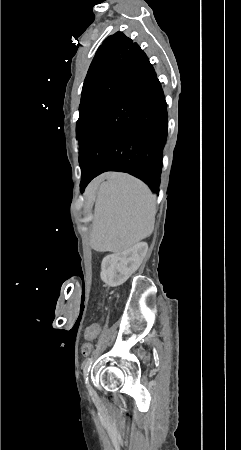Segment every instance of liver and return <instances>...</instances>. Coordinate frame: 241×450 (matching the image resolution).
<instances>
[{
  "label": "liver",
  "instance_id": "liver-1",
  "mask_svg": "<svg viewBox=\"0 0 241 450\" xmlns=\"http://www.w3.org/2000/svg\"><path fill=\"white\" fill-rule=\"evenodd\" d=\"M111 174H102V176H99V178H96V180H93L94 184L96 182H102V180H108L110 178Z\"/></svg>",
  "mask_w": 241,
  "mask_h": 450
}]
</instances>
